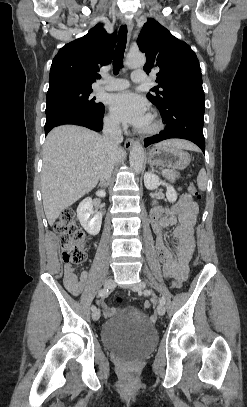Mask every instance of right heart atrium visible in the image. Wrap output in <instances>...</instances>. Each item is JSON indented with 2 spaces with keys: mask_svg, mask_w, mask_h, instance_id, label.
<instances>
[{
  "mask_svg": "<svg viewBox=\"0 0 247 407\" xmlns=\"http://www.w3.org/2000/svg\"><path fill=\"white\" fill-rule=\"evenodd\" d=\"M105 123L107 126L110 128H117L118 127V122L115 119V117L111 114H108L105 116Z\"/></svg>",
  "mask_w": 247,
  "mask_h": 407,
  "instance_id": "obj_1",
  "label": "right heart atrium"
}]
</instances>
